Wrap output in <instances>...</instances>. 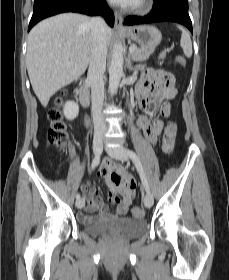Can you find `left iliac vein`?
<instances>
[{
    "label": "left iliac vein",
    "instance_id": "1",
    "mask_svg": "<svg viewBox=\"0 0 229 280\" xmlns=\"http://www.w3.org/2000/svg\"><path fill=\"white\" fill-rule=\"evenodd\" d=\"M106 152L113 158L118 159L120 161H128V154L124 147L117 148H105ZM154 199L153 195L150 192H147L143 197V203L146 208H151L153 205Z\"/></svg>",
    "mask_w": 229,
    "mask_h": 280
}]
</instances>
